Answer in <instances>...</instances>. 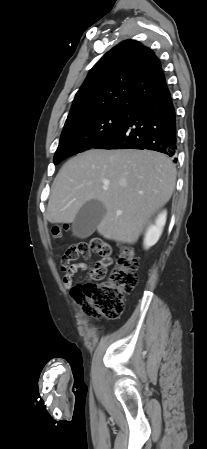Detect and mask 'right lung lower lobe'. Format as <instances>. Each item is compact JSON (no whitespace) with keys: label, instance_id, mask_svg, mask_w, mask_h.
Wrapping results in <instances>:
<instances>
[{"label":"right lung lower lobe","instance_id":"right-lung-lower-lobe-1","mask_svg":"<svg viewBox=\"0 0 207 449\" xmlns=\"http://www.w3.org/2000/svg\"><path fill=\"white\" fill-rule=\"evenodd\" d=\"M93 148L149 149L174 157L177 125L170 92L136 109L122 127Z\"/></svg>","mask_w":207,"mask_h":449}]
</instances>
